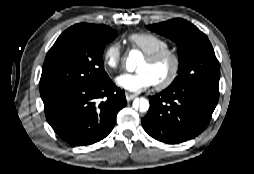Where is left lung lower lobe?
Here are the masks:
<instances>
[{"label": "left lung lower lobe", "instance_id": "1", "mask_svg": "<svg viewBox=\"0 0 254 174\" xmlns=\"http://www.w3.org/2000/svg\"><path fill=\"white\" fill-rule=\"evenodd\" d=\"M218 99L216 83L168 87L149 97L150 109L141 123L156 140L167 144L185 142L205 130Z\"/></svg>", "mask_w": 254, "mask_h": 174}]
</instances>
